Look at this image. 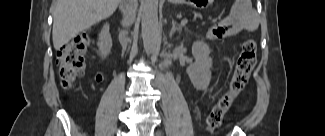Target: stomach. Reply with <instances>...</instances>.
Returning a JSON list of instances; mask_svg holds the SVG:
<instances>
[{
  "mask_svg": "<svg viewBox=\"0 0 325 136\" xmlns=\"http://www.w3.org/2000/svg\"><path fill=\"white\" fill-rule=\"evenodd\" d=\"M172 3L187 4L194 8L204 9L208 7L213 0H170Z\"/></svg>",
  "mask_w": 325,
  "mask_h": 136,
  "instance_id": "obj_1",
  "label": "stomach"
}]
</instances>
